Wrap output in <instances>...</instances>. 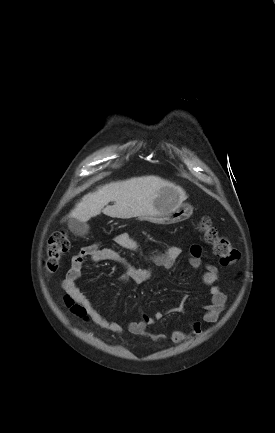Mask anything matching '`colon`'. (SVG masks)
Here are the masks:
<instances>
[{
	"instance_id": "1",
	"label": "colon",
	"mask_w": 275,
	"mask_h": 433,
	"mask_svg": "<svg viewBox=\"0 0 275 433\" xmlns=\"http://www.w3.org/2000/svg\"><path fill=\"white\" fill-rule=\"evenodd\" d=\"M199 228L205 241L212 246L213 253L223 265H233L238 262L240 258L239 251L233 248L228 240L218 233L209 217L201 219ZM69 247L70 239L65 230L61 229L52 233L48 240L44 261L48 272H56L60 268L61 259L67 253ZM64 301L73 313L80 317L84 316V308L77 305L72 297L66 295Z\"/></svg>"
}]
</instances>
